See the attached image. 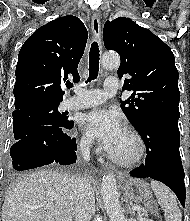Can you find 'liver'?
<instances>
[{"mask_svg": "<svg viewBox=\"0 0 190 221\" xmlns=\"http://www.w3.org/2000/svg\"><path fill=\"white\" fill-rule=\"evenodd\" d=\"M70 174L39 170L18 179L2 206V221H73L74 185Z\"/></svg>", "mask_w": 190, "mask_h": 221, "instance_id": "obj_1", "label": "liver"}]
</instances>
